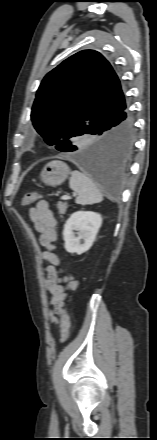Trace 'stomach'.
Returning a JSON list of instances; mask_svg holds the SVG:
<instances>
[{
  "label": "stomach",
  "mask_w": 157,
  "mask_h": 440,
  "mask_svg": "<svg viewBox=\"0 0 157 440\" xmlns=\"http://www.w3.org/2000/svg\"><path fill=\"white\" fill-rule=\"evenodd\" d=\"M71 174L69 166L62 161H51L47 163L41 173L40 178L46 185L57 186L62 184Z\"/></svg>",
  "instance_id": "0dacf381"
}]
</instances>
